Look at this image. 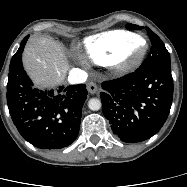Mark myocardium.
<instances>
[{
    "instance_id": "myocardium-1",
    "label": "myocardium",
    "mask_w": 187,
    "mask_h": 187,
    "mask_svg": "<svg viewBox=\"0 0 187 187\" xmlns=\"http://www.w3.org/2000/svg\"><path fill=\"white\" fill-rule=\"evenodd\" d=\"M148 51L145 40L130 48L126 54L112 64L118 71L126 72L138 67L144 60Z\"/></svg>"
}]
</instances>
